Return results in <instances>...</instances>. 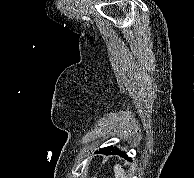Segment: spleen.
Listing matches in <instances>:
<instances>
[{"instance_id": "obj_1", "label": "spleen", "mask_w": 194, "mask_h": 178, "mask_svg": "<svg viewBox=\"0 0 194 178\" xmlns=\"http://www.w3.org/2000/svg\"><path fill=\"white\" fill-rule=\"evenodd\" d=\"M114 175L115 178H127L124 172V169L120 164L114 165Z\"/></svg>"}]
</instances>
